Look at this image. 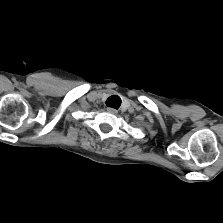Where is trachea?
<instances>
[{"label":"trachea","instance_id":"obj_1","mask_svg":"<svg viewBox=\"0 0 223 223\" xmlns=\"http://www.w3.org/2000/svg\"><path fill=\"white\" fill-rule=\"evenodd\" d=\"M121 104V98L119 96L113 95L109 97L106 101V105L114 108H118Z\"/></svg>","mask_w":223,"mask_h":223}]
</instances>
